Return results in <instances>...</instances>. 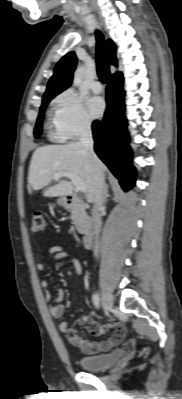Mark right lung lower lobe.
<instances>
[{"instance_id":"98d812e1","label":"right lung lower lobe","mask_w":182,"mask_h":399,"mask_svg":"<svg viewBox=\"0 0 182 399\" xmlns=\"http://www.w3.org/2000/svg\"><path fill=\"white\" fill-rule=\"evenodd\" d=\"M123 81L122 74L110 78L106 87L107 109L104 118L93 122L92 131L95 152L119 179L122 189L128 191L135 185V168L131 163L132 151L128 146Z\"/></svg>"}]
</instances>
